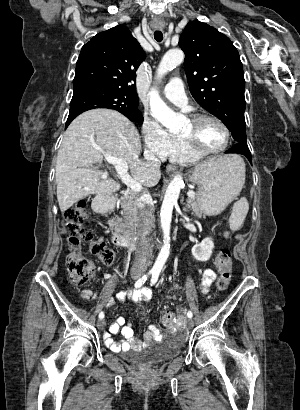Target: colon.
<instances>
[{"label":"colon","instance_id":"5ec220e1","mask_svg":"<svg viewBox=\"0 0 300 410\" xmlns=\"http://www.w3.org/2000/svg\"><path fill=\"white\" fill-rule=\"evenodd\" d=\"M87 217L86 201L80 200L65 211L64 225L68 230V241L73 251L66 258V268L68 272V281L73 286H82L87 283L94 274L93 263L84 257L80 252V247L87 243L90 252L98 257L105 265L115 263V252L102 238L95 237L94 234L86 227L85 219ZM216 266L219 270V277L216 287L219 291L226 290L231 279L232 260L230 250L222 248L216 256ZM166 325L173 327L176 322V316L172 311H166L163 317Z\"/></svg>","mask_w":300,"mask_h":410}]
</instances>
